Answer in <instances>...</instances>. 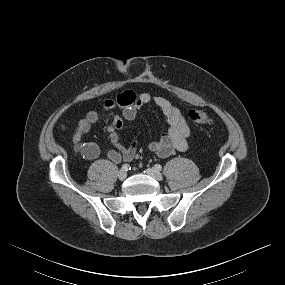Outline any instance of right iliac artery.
<instances>
[{
    "label": "right iliac artery",
    "mask_w": 285,
    "mask_h": 285,
    "mask_svg": "<svg viewBox=\"0 0 285 285\" xmlns=\"http://www.w3.org/2000/svg\"><path fill=\"white\" fill-rule=\"evenodd\" d=\"M129 169H131V168H130V166L128 164H124L121 167V170H123V171H128Z\"/></svg>",
    "instance_id": "obj_1"
}]
</instances>
